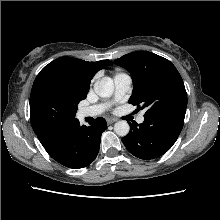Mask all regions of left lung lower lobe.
Here are the masks:
<instances>
[{
  "label": "left lung lower lobe",
  "mask_w": 220,
  "mask_h": 220,
  "mask_svg": "<svg viewBox=\"0 0 220 220\" xmlns=\"http://www.w3.org/2000/svg\"><path fill=\"white\" fill-rule=\"evenodd\" d=\"M186 110H169L144 115L141 124H130L122 138L127 150L140 159H154L166 153L176 142L184 125Z\"/></svg>",
  "instance_id": "left-lung-lower-lobe-1"
}]
</instances>
